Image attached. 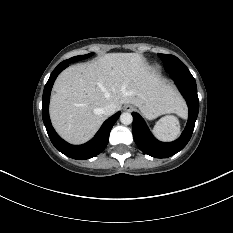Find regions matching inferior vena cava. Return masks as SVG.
<instances>
[{
    "mask_svg": "<svg viewBox=\"0 0 233 233\" xmlns=\"http://www.w3.org/2000/svg\"><path fill=\"white\" fill-rule=\"evenodd\" d=\"M102 114L110 116L116 112L115 104H108L101 109Z\"/></svg>",
    "mask_w": 233,
    "mask_h": 233,
    "instance_id": "inferior-vena-cava-1",
    "label": "inferior vena cava"
}]
</instances>
